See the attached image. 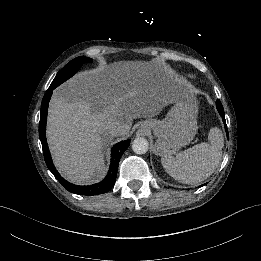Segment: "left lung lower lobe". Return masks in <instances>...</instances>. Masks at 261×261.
Returning <instances> with one entry per match:
<instances>
[{
	"label": "left lung lower lobe",
	"mask_w": 261,
	"mask_h": 261,
	"mask_svg": "<svg viewBox=\"0 0 261 261\" xmlns=\"http://www.w3.org/2000/svg\"><path fill=\"white\" fill-rule=\"evenodd\" d=\"M216 107H217V110L219 111L220 115L222 116L223 122L225 124V130H226L227 136L229 138L228 129H227L226 122H225V117H224V109H223V106H222L220 100L216 101Z\"/></svg>",
	"instance_id": "0a47b994"
}]
</instances>
